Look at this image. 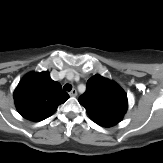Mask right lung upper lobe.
<instances>
[{
	"label": "right lung upper lobe",
	"instance_id": "right-lung-upper-lobe-1",
	"mask_svg": "<svg viewBox=\"0 0 163 163\" xmlns=\"http://www.w3.org/2000/svg\"><path fill=\"white\" fill-rule=\"evenodd\" d=\"M68 98L69 95L62 91L60 83L52 80L47 71L28 73L14 91L18 112L35 122L51 116Z\"/></svg>",
	"mask_w": 163,
	"mask_h": 163
}]
</instances>
